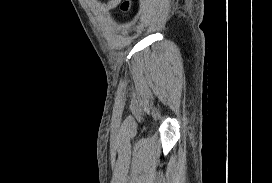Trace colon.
<instances>
[{"mask_svg": "<svg viewBox=\"0 0 272 183\" xmlns=\"http://www.w3.org/2000/svg\"><path fill=\"white\" fill-rule=\"evenodd\" d=\"M120 7L123 12H125V13L128 12L131 8V1L130 0H123L121 2Z\"/></svg>", "mask_w": 272, "mask_h": 183, "instance_id": "1", "label": "colon"}]
</instances>
